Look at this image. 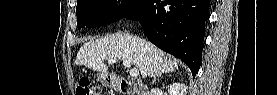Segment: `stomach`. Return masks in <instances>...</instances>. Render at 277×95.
I'll list each match as a JSON object with an SVG mask.
<instances>
[{"label":"stomach","instance_id":"0dacf381","mask_svg":"<svg viewBox=\"0 0 277 95\" xmlns=\"http://www.w3.org/2000/svg\"><path fill=\"white\" fill-rule=\"evenodd\" d=\"M98 79L100 81H102L103 83H105V84H109V83L111 84V81L109 80V77L104 75V74H99Z\"/></svg>","mask_w":277,"mask_h":95}]
</instances>
